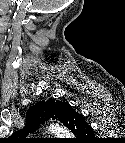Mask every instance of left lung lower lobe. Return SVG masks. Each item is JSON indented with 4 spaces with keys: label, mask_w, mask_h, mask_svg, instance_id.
I'll return each mask as SVG.
<instances>
[{
    "label": "left lung lower lobe",
    "mask_w": 125,
    "mask_h": 143,
    "mask_svg": "<svg viewBox=\"0 0 125 143\" xmlns=\"http://www.w3.org/2000/svg\"><path fill=\"white\" fill-rule=\"evenodd\" d=\"M65 125L71 127L73 123L80 122L84 119L83 115L76 112L70 104H66L65 106ZM93 130L90 135H92ZM88 135V134H86Z\"/></svg>",
    "instance_id": "left-lung-lower-lobe-1"
}]
</instances>
